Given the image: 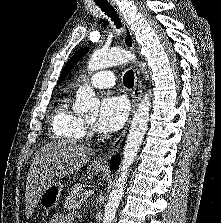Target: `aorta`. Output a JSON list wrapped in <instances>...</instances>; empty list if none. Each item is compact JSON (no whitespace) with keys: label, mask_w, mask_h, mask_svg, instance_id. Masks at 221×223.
Returning <instances> with one entry per match:
<instances>
[{"label":"aorta","mask_w":221,"mask_h":223,"mask_svg":"<svg viewBox=\"0 0 221 223\" xmlns=\"http://www.w3.org/2000/svg\"><path fill=\"white\" fill-rule=\"evenodd\" d=\"M135 60V56L122 49L96 50L88 62V70L98 71L107 67L125 64ZM144 65L142 66V71ZM147 73V72H146ZM100 105L95 92L88 85L82 86L76 93V102L73 109L79 114H96ZM150 98L146 94L141 100L131 122L127 136L123 158L118 170L116 183L109 195V200L105 206L103 223H112L120 200L124 194L127 177L135 157L142 144L150 115Z\"/></svg>","instance_id":"aorta-1"}]
</instances>
